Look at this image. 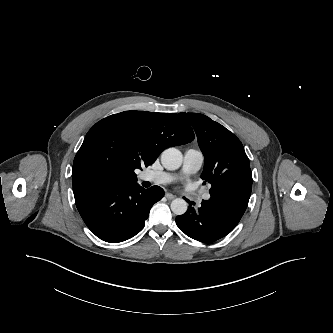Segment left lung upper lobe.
<instances>
[{
    "instance_id": "1",
    "label": "left lung upper lobe",
    "mask_w": 333,
    "mask_h": 333,
    "mask_svg": "<svg viewBox=\"0 0 333 333\" xmlns=\"http://www.w3.org/2000/svg\"><path fill=\"white\" fill-rule=\"evenodd\" d=\"M194 128L199 147L205 157L201 178L211 184L210 191L224 176L250 168L240 140L221 124L198 113H180Z\"/></svg>"
}]
</instances>
